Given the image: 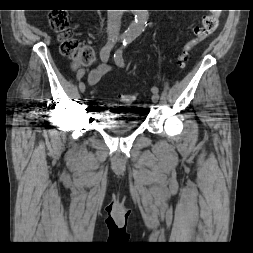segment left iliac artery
Listing matches in <instances>:
<instances>
[{
    "label": "left iliac artery",
    "instance_id": "left-iliac-artery-1",
    "mask_svg": "<svg viewBox=\"0 0 253 253\" xmlns=\"http://www.w3.org/2000/svg\"><path fill=\"white\" fill-rule=\"evenodd\" d=\"M131 43V39H125L123 40V45L121 46L120 49H118L116 51V53L114 54V59H115V62L117 63V65L123 67L124 66V59H123V50L128 47V45ZM151 91L153 93H158L159 92V89L158 87L156 86H153L151 88Z\"/></svg>",
    "mask_w": 253,
    "mask_h": 253
}]
</instances>
